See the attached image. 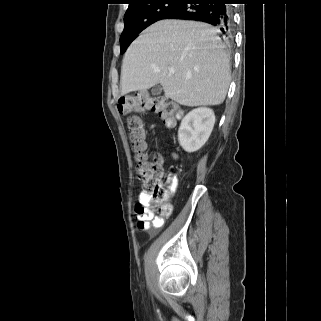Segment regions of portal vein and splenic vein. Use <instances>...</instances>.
Masks as SVG:
<instances>
[{
  "label": "portal vein and splenic vein",
  "mask_w": 321,
  "mask_h": 321,
  "mask_svg": "<svg viewBox=\"0 0 321 321\" xmlns=\"http://www.w3.org/2000/svg\"><path fill=\"white\" fill-rule=\"evenodd\" d=\"M169 73H170V74H174V70H170Z\"/></svg>",
  "instance_id": "obj_1"
}]
</instances>
